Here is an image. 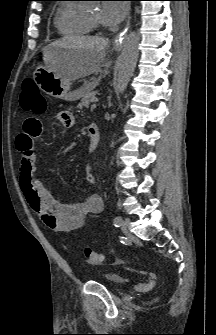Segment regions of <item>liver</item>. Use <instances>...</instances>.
Returning <instances> with one entry per match:
<instances>
[{"label": "liver", "mask_w": 216, "mask_h": 335, "mask_svg": "<svg viewBox=\"0 0 216 335\" xmlns=\"http://www.w3.org/2000/svg\"><path fill=\"white\" fill-rule=\"evenodd\" d=\"M108 39L100 37H64L51 46L69 47L77 50L65 67L62 75L70 80H76L98 72L106 56Z\"/></svg>", "instance_id": "6515ba94"}]
</instances>
